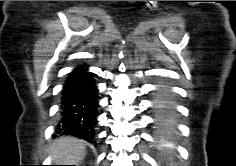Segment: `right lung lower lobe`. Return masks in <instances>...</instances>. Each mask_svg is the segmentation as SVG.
Returning <instances> with one entry per match:
<instances>
[{"label":"right lung lower lobe","instance_id":"98d812e1","mask_svg":"<svg viewBox=\"0 0 236 166\" xmlns=\"http://www.w3.org/2000/svg\"><path fill=\"white\" fill-rule=\"evenodd\" d=\"M86 65L75 68L64 84L56 131L94 143L98 89Z\"/></svg>","mask_w":236,"mask_h":166}]
</instances>
